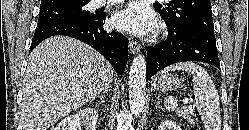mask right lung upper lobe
Listing matches in <instances>:
<instances>
[{"label":"right lung upper lobe","instance_id":"obj_1","mask_svg":"<svg viewBox=\"0 0 249 130\" xmlns=\"http://www.w3.org/2000/svg\"><path fill=\"white\" fill-rule=\"evenodd\" d=\"M89 0H42L40 9L65 8L75 6Z\"/></svg>","mask_w":249,"mask_h":130}]
</instances>
